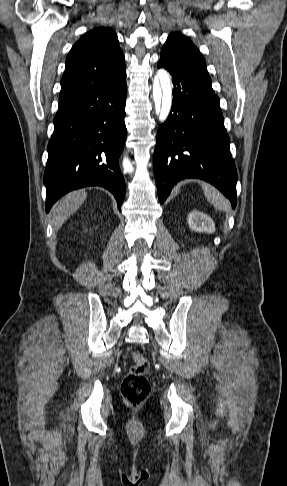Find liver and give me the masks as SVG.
<instances>
[{
  "mask_svg": "<svg viewBox=\"0 0 287 486\" xmlns=\"http://www.w3.org/2000/svg\"><path fill=\"white\" fill-rule=\"evenodd\" d=\"M85 190H76L65 195L51 210L52 223L59 230L63 223L74 214L86 199Z\"/></svg>",
  "mask_w": 287,
  "mask_h": 486,
  "instance_id": "6515ba94",
  "label": "liver"
}]
</instances>
